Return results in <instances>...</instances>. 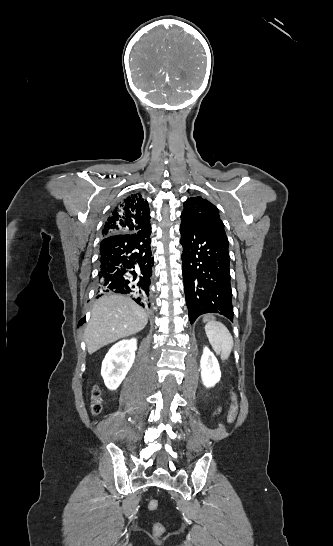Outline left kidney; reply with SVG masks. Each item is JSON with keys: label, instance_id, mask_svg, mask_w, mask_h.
<instances>
[{"label": "left kidney", "instance_id": "left-kidney-1", "mask_svg": "<svg viewBox=\"0 0 333 546\" xmlns=\"http://www.w3.org/2000/svg\"><path fill=\"white\" fill-rule=\"evenodd\" d=\"M201 378L206 387L214 386L219 382L221 377L219 363L215 355L204 347L203 354L200 360Z\"/></svg>", "mask_w": 333, "mask_h": 546}]
</instances>
